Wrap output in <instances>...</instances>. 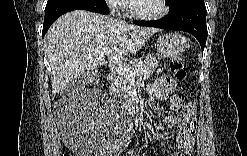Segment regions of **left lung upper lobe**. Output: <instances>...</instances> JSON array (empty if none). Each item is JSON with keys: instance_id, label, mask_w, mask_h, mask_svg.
I'll use <instances>...</instances> for the list:
<instances>
[{"instance_id": "left-lung-upper-lobe-1", "label": "left lung upper lobe", "mask_w": 247, "mask_h": 156, "mask_svg": "<svg viewBox=\"0 0 247 156\" xmlns=\"http://www.w3.org/2000/svg\"><path fill=\"white\" fill-rule=\"evenodd\" d=\"M186 0H169V11L178 9Z\"/></svg>"}]
</instances>
